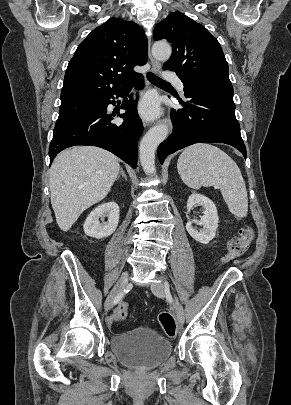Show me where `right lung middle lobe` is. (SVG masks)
<instances>
[{
  "label": "right lung middle lobe",
  "instance_id": "obj_1",
  "mask_svg": "<svg viewBox=\"0 0 291 405\" xmlns=\"http://www.w3.org/2000/svg\"><path fill=\"white\" fill-rule=\"evenodd\" d=\"M101 106L100 99L79 100L62 103L59 109V117L55 126L66 123L76 117L92 112Z\"/></svg>",
  "mask_w": 291,
  "mask_h": 405
}]
</instances>
